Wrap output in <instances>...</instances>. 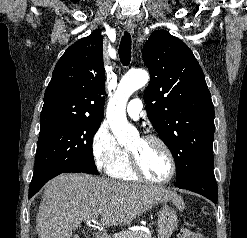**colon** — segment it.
I'll return each mask as SVG.
<instances>
[{"mask_svg": "<svg viewBox=\"0 0 247 238\" xmlns=\"http://www.w3.org/2000/svg\"><path fill=\"white\" fill-rule=\"evenodd\" d=\"M177 238H204L202 234L187 228L178 230Z\"/></svg>", "mask_w": 247, "mask_h": 238, "instance_id": "obj_1", "label": "colon"}]
</instances>
